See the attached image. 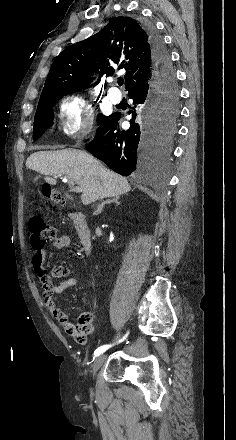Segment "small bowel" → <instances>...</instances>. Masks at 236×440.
<instances>
[{"mask_svg": "<svg viewBox=\"0 0 236 440\" xmlns=\"http://www.w3.org/2000/svg\"><path fill=\"white\" fill-rule=\"evenodd\" d=\"M70 244V236L62 234L54 239L52 247L56 250H62L69 247ZM46 257V248L36 249L32 256V265L36 277L43 288V304L62 325V329L71 335L78 344L84 345L87 343L88 337L95 329V322L93 321L92 313L88 311L83 312L80 315L79 321H69L68 316L57 306L53 298L54 295L62 294L67 289L76 287L79 284V281L75 277H68L71 270L64 265L54 267L49 276L44 268ZM61 278L66 279L60 282H55L56 279Z\"/></svg>", "mask_w": 236, "mask_h": 440, "instance_id": "1", "label": "small bowel"}]
</instances>
